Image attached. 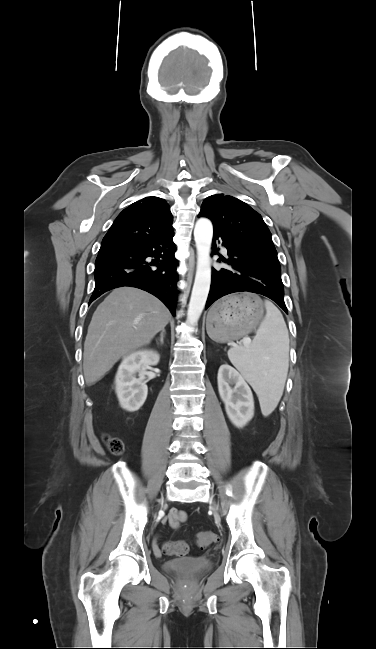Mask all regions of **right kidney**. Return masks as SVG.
<instances>
[{"instance_id":"right-kidney-1","label":"right kidney","mask_w":376,"mask_h":649,"mask_svg":"<svg viewBox=\"0 0 376 649\" xmlns=\"http://www.w3.org/2000/svg\"><path fill=\"white\" fill-rule=\"evenodd\" d=\"M159 359L157 352L145 349L123 359L115 377V391L123 409L134 412L144 404L148 393L145 375L150 366L159 363Z\"/></svg>"}]
</instances>
